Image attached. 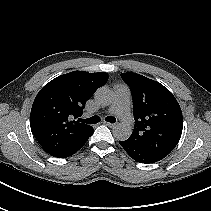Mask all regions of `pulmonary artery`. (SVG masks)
<instances>
[{"label": "pulmonary artery", "mask_w": 211, "mask_h": 211, "mask_svg": "<svg viewBox=\"0 0 211 211\" xmlns=\"http://www.w3.org/2000/svg\"><path fill=\"white\" fill-rule=\"evenodd\" d=\"M107 112L117 115L125 125H133V118L130 113V90L126 85H116L115 98Z\"/></svg>", "instance_id": "obj_1"}]
</instances>
